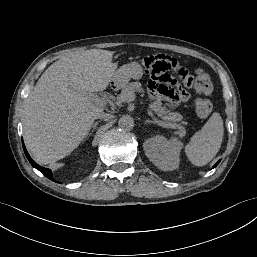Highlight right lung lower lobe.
Instances as JSON below:
<instances>
[{
  "label": "right lung lower lobe",
  "instance_id": "obj_1",
  "mask_svg": "<svg viewBox=\"0 0 257 257\" xmlns=\"http://www.w3.org/2000/svg\"><path fill=\"white\" fill-rule=\"evenodd\" d=\"M22 144H23V149H24L25 155H26L27 159L29 160V162L31 163V165H32L33 167H35L36 169H38V170H39L43 175H45L47 178H49L50 180L56 182V181L54 180L53 176H52L51 170H50V169H47V168H44V167L38 165L36 162H34V161L31 159V157L29 156V154H28V152H27V150H26V148H25V146H24L23 141H22Z\"/></svg>",
  "mask_w": 257,
  "mask_h": 257
}]
</instances>
